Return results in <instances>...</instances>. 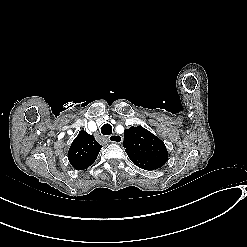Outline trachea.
<instances>
[{"label":"trachea","instance_id":"obj_1","mask_svg":"<svg viewBox=\"0 0 247 247\" xmlns=\"http://www.w3.org/2000/svg\"><path fill=\"white\" fill-rule=\"evenodd\" d=\"M101 133L107 136L110 135L112 133V126L109 123L104 124L101 127Z\"/></svg>","mask_w":247,"mask_h":247}]
</instances>
